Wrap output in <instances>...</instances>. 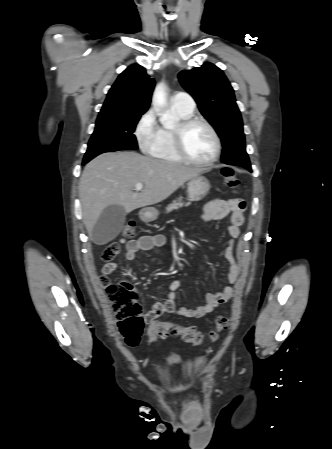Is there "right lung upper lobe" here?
<instances>
[{
	"instance_id": "right-lung-upper-lobe-1",
	"label": "right lung upper lobe",
	"mask_w": 332,
	"mask_h": 449,
	"mask_svg": "<svg viewBox=\"0 0 332 449\" xmlns=\"http://www.w3.org/2000/svg\"><path fill=\"white\" fill-rule=\"evenodd\" d=\"M155 86L146 70L136 64L123 71L109 90L98 116L143 114L149 108Z\"/></svg>"
}]
</instances>
